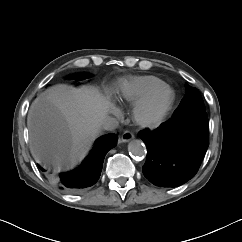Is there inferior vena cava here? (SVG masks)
<instances>
[{
	"label": "inferior vena cava",
	"instance_id": "obj_1",
	"mask_svg": "<svg viewBox=\"0 0 242 242\" xmlns=\"http://www.w3.org/2000/svg\"><path fill=\"white\" fill-rule=\"evenodd\" d=\"M119 125V122L116 118L106 116L102 122V128L104 130L112 131L116 129Z\"/></svg>",
	"mask_w": 242,
	"mask_h": 242
}]
</instances>
